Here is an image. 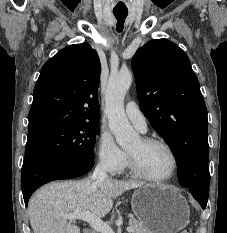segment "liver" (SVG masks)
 Masks as SVG:
<instances>
[{
    "label": "liver",
    "instance_id": "obj_1",
    "mask_svg": "<svg viewBox=\"0 0 227 233\" xmlns=\"http://www.w3.org/2000/svg\"><path fill=\"white\" fill-rule=\"evenodd\" d=\"M147 184L106 178L96 183L90 178L52 182L30 199L28 213L34 233H80V228L64 216L89 211L103 217L113 207V199L125 191Z\"/></svg>",
    "mask_w": 227,
    "mask_h": 233
}]
</instances>
